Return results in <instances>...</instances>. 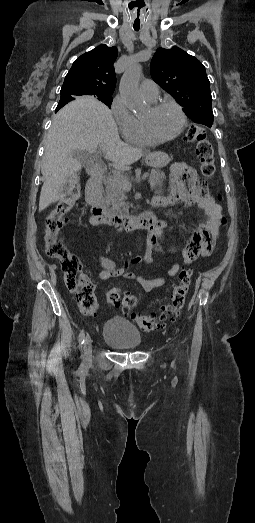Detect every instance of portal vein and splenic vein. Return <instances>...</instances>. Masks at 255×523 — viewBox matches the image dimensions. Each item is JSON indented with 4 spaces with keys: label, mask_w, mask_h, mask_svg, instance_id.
I'll return each instance as SVG.
<instances>
[{
    "label": "portal vein and splenic vein",
    "mask_w": 255,
    "mask_h": 523,
    "mask_svg": "<svg viewBox=\"0 0 255 523\" xmlns=\"http://www.w3.org/2000/svg\"><path fill=\"white\" fill-rule=\"evenodd\" d=\"M112 173L113 174H124V169H115V167H112ZM148 177H149V174L147 172H142L140 174V176H138V181L145 182ZM122 186H123L124 190H126L128 193H131L133 191L131 182H126V180H124Z\"/></svg>",
    "instance_id": "portal-vein-and-splenic-vein-1"
}]
</instances>
